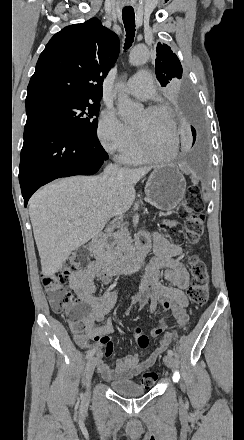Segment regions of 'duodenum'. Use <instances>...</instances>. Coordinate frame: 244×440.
Returning a JSON list of instances; mask_svg holds the SVG:
<instances>
[{
	"label": "duodenum",
	"instance_id": "1",
	"mask_svg": "<svg viewBox=\"0 0 244 440\" xmlns=\"http://www.w3.org/2000/svg\"><path fill=\"white\" fill-rule=\"evenodd\" d=\"M92 254L99 253L105 247V238L103 235L94 236L88 243ZM148 247L141 241L135 252L125 254L119 258H104L102 261L103 269L111 274L136 273L144 264Z\"/></svg>",
	"mask_w": 244,
	"mask_h": 440
}]
</instances>
